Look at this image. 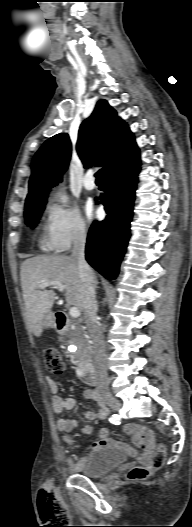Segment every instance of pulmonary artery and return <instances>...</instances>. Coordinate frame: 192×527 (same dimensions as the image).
Here are the masks:
<instances>
[{
  "label": "pulmonary artery",
  "instance_id": "e3ab8cb5",
  "mask_svg": "<svg viewBox=\"0 0 192 527\" xmlns=\"http://www.w3.org/2000/svg\"><path fill=\"white\" fill-rule=\"evenodd\" d=\"M83 186L86 190H93L96 187V184L93 179L92 172L89 171L83 178Z\"/></svg>",
  "mask_w": 192,
  "mask_h": 527
}]
</instances>
